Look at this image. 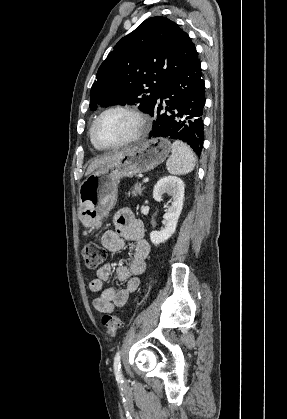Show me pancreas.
I'll list each match as a JSON object with an SVG mask.
<instances>
[{
    "label": "pancreas",
    "mask_w": 287,
    "mask_h": 419,
    "mask_svg": "<svg viewBox=\"0 0 287 419\" xmlns=\"http://www.w3.org/2000/svg\"><path fill=\"white\" fill-rule=\"evenodd\" d=\"M144 187L141 184L136 183L134 187L131 189V192L128 195L132 194L133 196H137V194L142 195Z\"/></svg>",
    "instance_id": "pancreas-1"
}]
</instances>
